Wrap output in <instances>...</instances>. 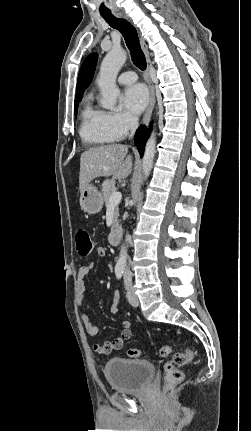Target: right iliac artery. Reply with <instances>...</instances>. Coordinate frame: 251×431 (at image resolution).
Instances as JSON below:
<instances>
[{
    "mask_svg": "<svg viewBox=\"0 0 251 431\" xmlns=\"http://www.w3.org/2000/svg\"><path fill=\"white\" fill-rule=\"evenodd\" d=\"M123 271H124L123 267H116L115 268V274H116V277L118 279H121V277L123 275Z\"/></svg>",
    "mask_w": 251,
    "mask_h": 431,
    "instance_id": "82829eb1",
    "label": "right iliac artery"
}]
</instances>
